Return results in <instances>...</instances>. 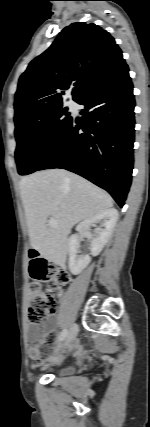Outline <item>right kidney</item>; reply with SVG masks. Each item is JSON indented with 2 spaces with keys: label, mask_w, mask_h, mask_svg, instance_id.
<instances>
[{
  "label": "right kidney",
  "mask_w": 150,
  "mask_h": 427,
  "mask_svg": "<svg viewBox=\"0 0 150 427\" xmlns=\"http://www.w3.org/2000/svg\"><path fill=\"white\" fill-rule=\"evenodd\" d=\"M118 220V211L116 209H107L100 212L99 214L94 215L91 218H88L81 222L76 230L79 233H83L88 238L91 239V255L97 256L105 244L107 243L109 237L112 234V231ZM95 223H100V226L95 230L94 237L90 234L89 229ZM68 252H69V270L72 274L77 275L84 270L88 264L91 262V257L87 254L79 255L80 253V242L79 235L75 234L69 238L68 241Z\"/></svg>",
  "instance_id": "obj_1"
}]
</instances>
